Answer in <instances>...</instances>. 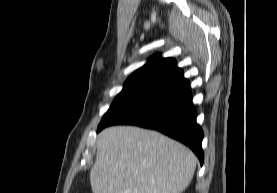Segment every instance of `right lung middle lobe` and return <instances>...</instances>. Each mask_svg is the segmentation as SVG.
<instances>
[{
  "instance_id": "1",
  "label": "right lung middle lobe",
  "mask_w": 277,
  "mask_h": 193,
  "mask_svg": "<svg viewBox=\"0 0 277 193\" xmlns=\"http://www.w3.org/2000/svg\"><path fill=\"white\" fill-rule=\"evenodd\" d=\"M146 95L144 92L122 90L113 101L107 113L103 116L99 125L106 123L115 114L136 103Z\"/></svg>"
}]
</instances>
